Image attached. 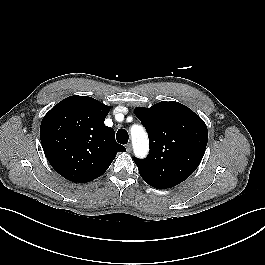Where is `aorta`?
Segmentation results:
<instances>
[{
	"mask_svg": "<svg viewBox=\"0 0 265 265\" xmlns=\"http://www.w3.org/2000/svg\"><path fill=\"white\" fill-rule=\"evenodd\" d=\"M131 139L134 152L138 157H145L149 150V141L144 128L135 125L131 128Z\"/></svg>",
	"mask_w": 265,
	"mask_h": 265,
	"instance_id": "obj_1",
	"label": "aorta"
}]
</instances>
